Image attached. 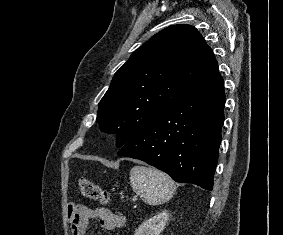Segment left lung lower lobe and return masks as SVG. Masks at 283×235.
I'll return each mask as SVG.
<instances>
[{"label":"left lung lower lobe","instance_id":"1","mask_svg":"<svg viewBox=\"0 0 283 235\" xmlns=\"http://www.w3.org/2000/svg\"><path fill=\"white\" fill-rule=\"evenodd\" d=\"M219 72L184 95L117 153L142 160L180 183L212 190L224 122Z\"/></svg>","mask_w":283,"mask_h":235}]
</instances>
